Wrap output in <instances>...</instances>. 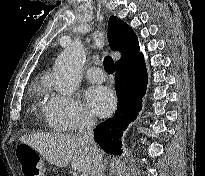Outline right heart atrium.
Masks as SVG:
<instances>
[{
	"instance_id": "right-heart-atrium-1",
	"label": "right heart atrium",
	"mask_w": 205,
	"mask_h": 176,
	"mask_svg": "<svg viewBox=\"0 0 205 176\" xmlns=\"http://www.w3.org/2000/svg\"><path fill=\"white\" fill-rule=\"evenodd\" d=\"M46 115L59 130L73 132L94 124V117L78 98L52 93L47 101Z\"/></svg>"
}]
</instances>
